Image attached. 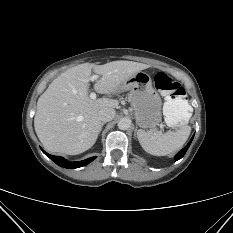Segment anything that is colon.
<instances>
[{
	"mask_svg": "<svg viewBox=\"0 0 233 233\" xmlns=\"http://www.w3.org/2000/svg\"><path fill=\"white\" fill-rule=\"evenodd\" d=\"M154 83L165 94L163 112L166 122L175 127L186 125L192 116V107L183 87L163 72L155 75Z\"/></svg>",
	"mask_w": 233,
	"mask_h": 233,
	"instance_id": "obj_1",
	"label": "colon"
}]
</instances>
